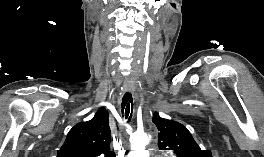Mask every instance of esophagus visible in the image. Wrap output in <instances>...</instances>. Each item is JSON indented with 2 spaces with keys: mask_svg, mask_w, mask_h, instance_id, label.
I'll return each mask as SVG.
<instances>
[{
  "mask_svg": "<svg viewBox=\"0 0 264 157\" xmlns=\"http://www.w3.org/2000/svg\"><path fill=\"white\" fill-rule=\"evenodd\" d=\"M125 91H126V92H129V91H130V89H129V88H125Z\"/></svg>",
  "mask_w": 264,
  "mask_h": 157,
  "instance_id": "esophagus-1",
  "label": "esophagus"
}]
</instances>
